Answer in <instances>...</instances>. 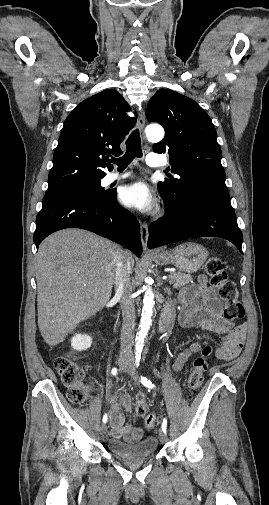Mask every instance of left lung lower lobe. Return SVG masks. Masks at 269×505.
I'll return each mask as SVG.
<instances>
[{
  "label": "left lung lower lobe",
  "instance_id": "0a47b994",
  "mask_svg": "<svg viewBox=\"0 0 269 505\" xmlns=\"http://www.w3.org/2000/svg\"><path fill=\"white\" fill-rule=\"evenodd\" d=\"M164 202L165 217L149 226L148 248L188 238L214 236L229 240L243 253L242 232L228 192L195 187L186 193L183 205L165 199Z\"/></svg>",
  "mask_w": 269,
  "mask_h": 505
}]
</instances>
